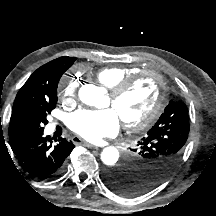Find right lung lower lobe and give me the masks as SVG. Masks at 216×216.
<instances>
[{
    "label": "right lung lower lobe",
    "mask_w": 216,
    "mask_h": 216,
    "mask_svg": "<svg viewBox=\"0 0 216 216\" xmlns=\"http://www.w3.org/2000/svg\"><path fill=\"white\" fill-rule=\"evenodd\" d=\"M52 139L43 131L27 132L11 144L20 166L31 176L48 180L62 172L75 146L64 138L55 139L57 143L52 145Z\"/></svg>",
    "instance_id": "1"
}]
</instances>
